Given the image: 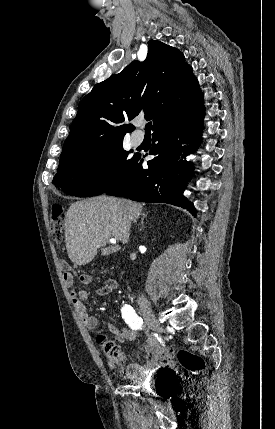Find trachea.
<instances>
[{
	"mask_svg": "<svg viewBox=\"0 0 275 429\" xmlns=\"http://www.w3.org/2000/svg\"><path fill=\"white\" fill-rule=\"evenodd\" d=\"M151 126H152V122H148V123L145 125V133H150V131H151Z\"/></svg>",
	"mask_w": 275,
	"mask_h": 429,
	"instance_id": "1",
	"label": "trachea"
}]
</instances>
